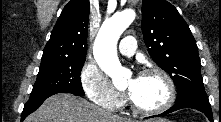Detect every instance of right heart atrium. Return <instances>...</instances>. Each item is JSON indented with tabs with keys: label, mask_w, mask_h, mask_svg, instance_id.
<instances>
[{
	"label": "right heart atrium",
	"mask_w": 221,
	"mask_h": 122,
	"mask_svg": "<svg viewBox=\"0 0 221 122\" xmlns=\"http://www.w3.org/2000/svg\"><path fill=\"white\" fill-rule=\"evenodd\" d=\"M80 83L89 100L104 109L113 111L123 104V95L93 61H86L82 66Z\"/></svg>",
	"instance_id": "right-heart-atrium-1"
}]
</instances>
